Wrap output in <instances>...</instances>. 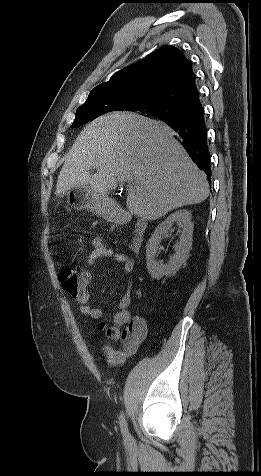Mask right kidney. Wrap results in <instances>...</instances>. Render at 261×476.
Wrapping results in <instances>:
<instances>
[{
	"mask_svg": "<svg viewBox=\"0 0 261 476\" xmlns=\"http://www.w3.org/2000/svg\"><path fill=\"white\" fill-rule=\"evenodd\" d=\"M191 218V212L184 209L178 210L156 227L146 245V264L152 278L159 280L163 276L175 275L188 259L193 234ZM175 223L181 228L180 240L174 246L175 254L170 257L168 263L164 264L162 261L156 260V254L161 240L172 232V226Z\"/></svg>",
	"mask_w": 261,
	"mask_h": 476,
	"instance_id": "1",
	"label": "right kidney"
}]
</instances>
